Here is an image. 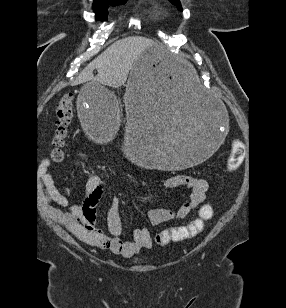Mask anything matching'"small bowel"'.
Instances as JSON below:
<instances>
[{
  "instance_id": "small-bowel-1",
  "label": "small bowel",
  "mask_w": 286,
  "mask_h": 308,
  "mask_svg": "<svg viewBox=\"0 0 286 308\" xmlns=\"http://www.w3.org/2000/svg\"><path fill=\"white\" fill-rule=\"evenodd\" d=\"M50 162L45 160L40 166L42 179L47 189L49 199L60 207L68 206V190L60 187L49 172ZM186 187L190 194L178 209L157 208L148 212V220L152 226L160 225L169 220L184 219L192 210L200 206L206 197L208 183L206 180L186 174H177L165 182V187L174 189ZM106 183L97 176H90L85 184V193L80 203L72 204L68 211L62 212L53 206L48 207L50 215L60 220L83 242L107 248L115 254L132 257L142 249L152 247V238L147 228H136L133 240L120 238L122 221L119 214L120 201L114 197L107 211L108 232L96 228V207L106 193Z\"/></svg>"
}]
</instances>
